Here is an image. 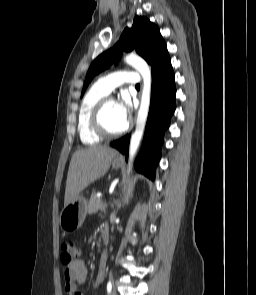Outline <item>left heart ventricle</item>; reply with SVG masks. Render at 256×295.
Here are the masks:
<instances>
[{
    "label": "left heart ventricle",
    "instance_id": "b2bd125f",
    "mask_svg": "<svg viewBox=\"0 0 256 295\" xmlns=\"http://www.w3.org/2000/svg\"><path fill=\"white\" fill-rule=\"evenodd\" d=\"M103 122L105 127L111 132H117L125 125L117 114L116 103L113 100L108 101L106 104L103 113Z\"/></svg>",
    "mask_w": 256,
    "mask_h": 295
}]
</instances>
